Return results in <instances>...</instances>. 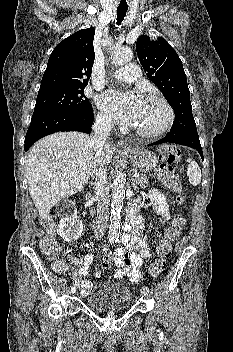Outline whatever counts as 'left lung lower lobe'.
<instances>
[{
  "label": "left lung lower lobe",
  "mask_w": 233,
  "mask_h": 352,
  "mask_svg": "<svg viewBox=\"0 0 233 352\" xmlns=\"http://www.w3.org/2000/svg\"><path fill=\"white\" fill-rule=\"evenodd\" d=\"M167 142L176 143V144L185 145V146L194 148L199 152V154L203 160V152H202L201 144L199 141L198 133L183 135V136H177L175 134L168 133L164 138H162L152 144H149L148 146L157 145V144H161V143H167Z\"/></svg>",
  "instance_id": "1"
}]
</instances>
